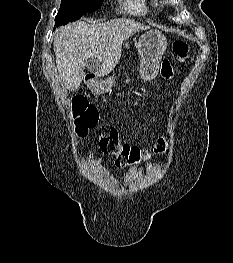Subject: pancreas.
<instances>
[{
  "label": "pancreas",
  "instance_id": "pancreas-1",
  "mask_svg": "<svg viewBox=\"0 0 233 263\" xmlns=\"http://www.w3.org/2000/svg\"><path fill=\"white\" fill-rule=\"evenodd\" d=\"M125 47L128 48V44H126Z\"/></svg>",
  "mask_w": 233,
  "mask_h": 263
}]
</instances>
